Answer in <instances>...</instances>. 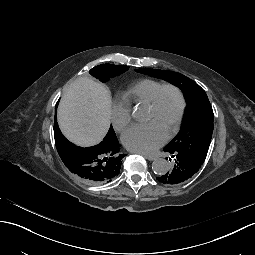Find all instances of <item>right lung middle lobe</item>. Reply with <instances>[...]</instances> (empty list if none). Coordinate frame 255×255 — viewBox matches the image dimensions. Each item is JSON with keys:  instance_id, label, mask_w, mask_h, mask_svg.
<instances>
[{"instance_id": "1", "label": "right lung middle lobe", "mask_w": 255, "mask_h": 255, "mask_svg": "<svg viewBox=\"0 0 255 255\" xmlns=\"http://www.w3.org/2000/svg\"><path fill=\"white\" fill-rule=\"evenodd\" d=\"M129 69L125 65L104 64L98 65L90 70V74L101 82L108 81L111 77H115Z\"/></svg>"}]
</instances>
